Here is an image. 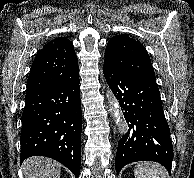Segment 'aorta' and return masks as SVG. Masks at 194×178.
Masks as SVG:
<instances>
[{
	"label": "aorta",
	"mask_w": 194,
	"mask_h": 178,
	"mask_svg": "<svg viewBox=\"0 0 194 178\" xmlns=\"http://www.w3.org/2000/svg\"><path fill=\"white\" fill-rule=\"evenodd\" d=\"M113 105V103H111ZM114 117L116 118L117 122L120 121V116H119V110L118 107L116 105H114Z\"/></svg>",
	"instance_id": "aorta-1"
}]
</instances>
